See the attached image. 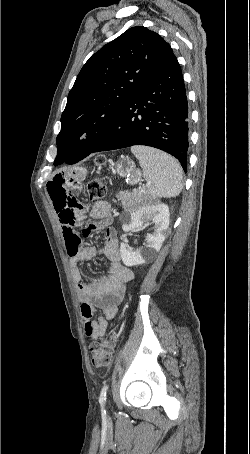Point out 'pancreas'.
Returning a JSON list of instances; mask_svg holds the SVG:
<instances>
[{
	"label": "pancreas",
	"instance_id": "obj_1",
	"mask_svg": "<svg viewBox=\"0 0 250 454\" xmlns=\"http://www.w3.org/2000/svg\"><path fill=\"white\" fill-rule=\"evenodd\" d=\"M143 194L142 193H133L129 194L127 196H121L122 204L124 208H130V206L133 204V202H140L143 200Z\"/></svg>",
	"mask_w": 250,
	"mask_h": 454
}]
</instances>
